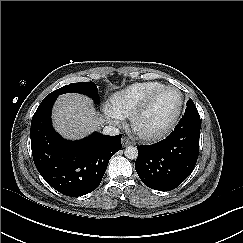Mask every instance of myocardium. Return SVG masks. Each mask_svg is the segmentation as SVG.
<instances>
[{
  "label": "myocardium",
  "instance_id": "1",
  "mask_svg": "<svg viewBox=\"0 0 243 243\" xmlns=\"http://www.w3.org/2000/svg\"><path fill=\"white\" fill-rule=\"evenodd\" d=\"M168 90H177L180 93V104H179V108L177 110V113L175 114V116L173 117V119L161 130L157 131V132H153V133H146V132H142L138 126H137V122L139 120V118L141 117V115L149 108V106L153 103V101L163 92L168 91ZM184 100H185V95L184 92L173 85H168V86H164L160 89H158L157 91H155L154 93H152L145 101H143L130 115V128L132 130V132L141 140L149 142V141H156L159 140L161 138H163L165 135H167L174 127L175 125L178 123L182 111H183V107H184Z\"/></svg>",
  "mask_w": 243,
  "mask_h": 243
}]
</instances>
